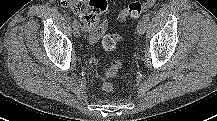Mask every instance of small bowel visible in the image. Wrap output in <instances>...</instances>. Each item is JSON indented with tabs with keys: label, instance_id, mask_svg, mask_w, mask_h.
<instances>
[{
	"label": "small bowel",
	"instance_id": "c3829d8e",
	"mask_svg": "<svg viewBox=\"0 0 217 121\" xmlns=\"http://www.w3.org/2000/svg\"><path fill=\"white\" fill-rule=\"evenodd\" d=\"M103 26H104V31L100 34H95L94 32H92L90 30V32H91V34L89 36V42L90 43H95L96 41H98L102 37V35L106 32V30L108 28V23L106 20H103Z\"/></svg>",
	"mask_w": 217,
	"mask_h": 121
}]
</instances>
